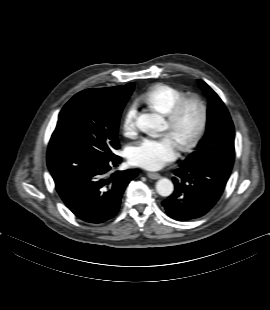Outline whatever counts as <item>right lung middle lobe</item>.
Returning a JSON list of instances; mask_svg holds the SVG:
<instances>
[{
	"label": "right lung middle lobe",
	"mask_w": 270,
	"mask_h": 310,
	"mask_svg": "<svg viewBox=\"0 0 270 310\" xmlns=\"http://www.w3.org/2000/svg\"><path fill=\"white\" fill-rule=\"evenodd\" d=\"M127 100L113 97L102 88L77 93L61 110L48 151L111 156L120 148L119 119Z\"/></svg>",
	"instance_id": "dd1d6c3e"
}]
</instances>
